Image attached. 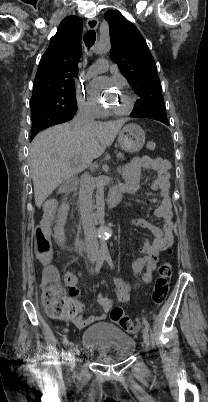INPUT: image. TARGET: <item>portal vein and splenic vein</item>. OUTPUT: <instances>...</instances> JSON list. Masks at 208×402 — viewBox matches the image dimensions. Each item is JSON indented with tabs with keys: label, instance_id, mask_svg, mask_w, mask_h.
<instances>
[{
	"label": "portal vein and splenic vein",
	"instance_id": "obj_1",
	"mask_svg": "<svg viewBox=\"0 0 208 402\" xmlns=\"http://www.w3.org/2000/svg\"><path fill=\"white\" fill-rule=\"evenodd\" d=\"M115 163L116 164H119L120 163V160H122L123 159V156L122 155H120L119 153H116L115 154Z\"/></svg>",
	"mask_w": 208,
	"mask_h": 402
}]
</instances>
